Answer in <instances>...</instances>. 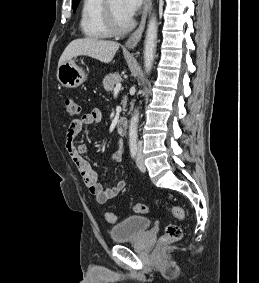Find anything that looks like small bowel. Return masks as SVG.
Segmentation results:
<instances>
[{
  "label": "small bowel",
  "mask_w": 259,
  "mask_h": 283,
  "mask_svg": "<svg viewBox=\"0 0 259 283\" xmlns=\"http://www.w3.org/2000/svg\"><path fill=\"white\" fill-rule=\"evenodd\" d=\"M101 118V110L95 108L91 112L84 114L81 118L71 120L66 133L65 149L70 160L77 167L86 188L95 196L98 203L104 204L123 192L128 187V183L120 180L115 186L105 187L98 181L91 164L83 156L87 151V146L85 144H75V140L83 128L99 123ZM124 156V143L119 140L116 149L112 153V158L115 161H121Z\"/></svg>",
  "instance_id": "small-bowel-1"
}]
</instances>
